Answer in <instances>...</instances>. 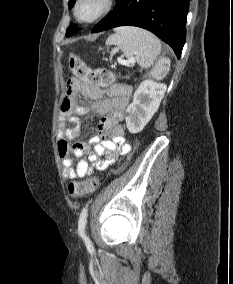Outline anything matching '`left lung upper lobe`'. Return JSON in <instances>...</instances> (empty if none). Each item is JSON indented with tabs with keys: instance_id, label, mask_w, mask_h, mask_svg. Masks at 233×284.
<instances>
[{
	"instance_id": "obj_1",
	"label": "left lung upper lobe",
	"mask_w": 233,
	"mask_h": 284,
	"mask_svg": "<svg viewBox=\"0 0 233 284\" xmlns=\"http://www.w3.org/2000/svg\"><path fill=\"white\" fill-rule=\"evenodd\" d=\"M75 0H69L68 7L71 9L74 6ZM77 32L76 28L70 26L66 31V37H69Z\"/></svg>"
}]
</instances>
